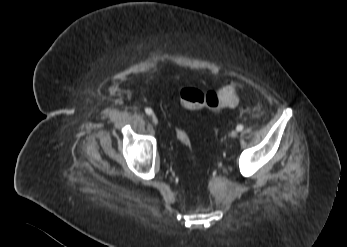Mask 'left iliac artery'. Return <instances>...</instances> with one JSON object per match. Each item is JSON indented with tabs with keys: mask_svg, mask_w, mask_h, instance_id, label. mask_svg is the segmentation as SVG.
Masks as SVG:
<instances>
[{
	"mask_svg": "<svg viewBox=\"0 0 347 247\" xmlns=\"http://www.w3.org/2000/svg\"><path fill=\"white\" fill-rule=\"evenodd\" d=\"M236 130H237V131H242V130H243V125H241V124L238 125V126L236 127Z\"/></svg>",
	"mask_w": 347,
	"mask_h": 247,
	"instance_id": "44dca946",
	"label": "left iliac artery"
}]
</instances>
